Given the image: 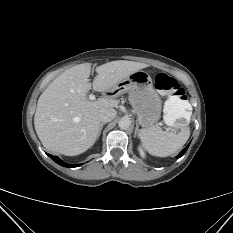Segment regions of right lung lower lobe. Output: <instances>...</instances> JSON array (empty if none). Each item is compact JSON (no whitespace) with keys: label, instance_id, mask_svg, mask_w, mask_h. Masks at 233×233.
<instances>
[{"label":"right lung lower lobe","instance_id":"right-lung-lower-lobe-1","mask_svg":"<svg viewBox=\"0 0 233 233\" xmlns=\"http://www.w3.org/2000/svg\"><path fill=\"white\" fill-rule=\"evenodd\" d=\"M49 157H51L56 163H58L59 165L61 166H64V167H77L79 166L80 164H77V165H69L65 162H63L62 160H60L57 156H52L50 154H47Z\"/></svg>","mask_w":233,"mask_h":233}]
</instances>
